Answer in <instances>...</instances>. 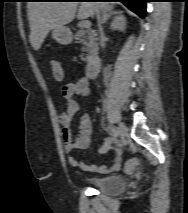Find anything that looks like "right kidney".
Returning <instances> with one entry per match:
<instances>
[{
	"instance_id": "ca27d5eb",
	"label": "right kidney",
	"mask_w": 188,
	"mask_h": 213,
	"mask_svg": "<svg viewBox=\"0 0 188 213\" xmlns=\"http://www.w3.org/2000/svg\"><path fill=\"white\" fill-rule=\"evenodd\" d=\"M110 28L112 30H120V31H124L126 28V19L125 17L121 14H119L118 16H116L112 23Z\"/></svg>"
}]
</instances>
